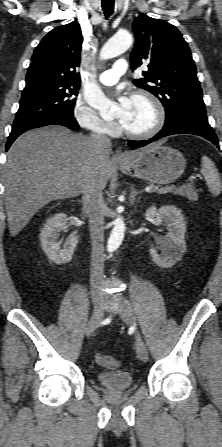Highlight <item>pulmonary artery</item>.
Wrapping results in <instances>:
<instances>
[{
  "label": "pulmonary artery",
  "instance_id": "pulmonary-artery-1",
  "mask_svg": "<svg viewBox=\"0 0 222 447\" xmlns=\"http://www.w3.org/2000/svg\"><path fill=\"white\" fill-rule=\"evenodd\" d=\"M127 71L126 60H118L115 62L112 70L104 71L100 74L99 80L103 85H114L119 78Z\"/></svg>",
  "mask_w": 222,
  "mask_h": 447
}]
</instances>
